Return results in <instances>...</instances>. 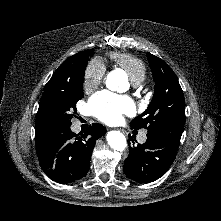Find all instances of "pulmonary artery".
I'll return each instance as SVG.
<instances>
[{
	"label": "pulmonary artery",
	"mask_w": 221,
	"mask_h": 221,
	"mask_svg": "<svg viewBox=\"0 0 221 221\" xmlns=\"http://www.w3.org/2000/svg\"><path fill=\"white\" fill-rule=\"evenodd\" d=\"M147 139V135H146V132L142 133L140 136H139V142L141 143H144Z\"/></svg>",
	"instance_id": "1"
}]
</instances>
